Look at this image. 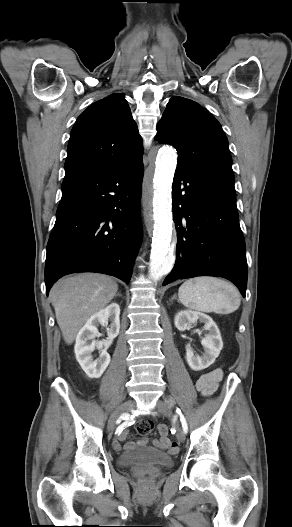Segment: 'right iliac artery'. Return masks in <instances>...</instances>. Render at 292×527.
<instances>
[{
  "label": "right iliac artery",
  "instance_id": "1",
  "mask_svg": "<svg viewBox=\"0 0 292 527\" xmlns=\"http://www.w3.org/2000/svg\"><path fill=\"white\" fill-rule=\"evenodd\" d=\"M137 415L135 413H132V416L128 421L122 422L120 425L116 426V434H120L122 431H125L126 429H131L136 425Z\"/></svg>",
  "mask_w": 292,
  "mask_h": 527
}]
</instances>
